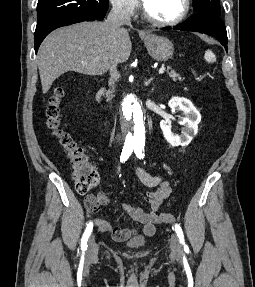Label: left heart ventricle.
<instances>
[{
    "instance_id": "1",
    "label": "left heart ventricle",
    "mask_w": 255,
    "mask_h": 287,
    "mask_svg": "<svg viewBox=\"0 0 255 287\" xmlns=\"http://www.w3.org/2000/svg\"><path fill=\"white\" fill-rule=\"evenodd\" d=\"M120 33H127V32H120ZM150 33H169V32H150ZM119 39H128V38H119ZM150 39H166V38H150ZM150 48H164V47H150Z\"/></svg>"
}]
</instances>
